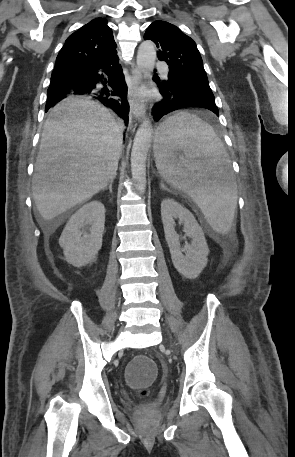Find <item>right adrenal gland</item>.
Instances as JSON below:
<instances>
[{
    "label": "right adrenal gland",
    "mask_w": 295,
    "mask_h": 457,
    "mask_svg": "<svg viewBox=\"0 0 295 457\" xmlns=\"http://www.w3.org/2000/svg\"><path fill=\"white\" fill-rule=\"evenodd\" d=\"M115 178H116V176L109 181L108 185L103 190L109 189L110 193H112L113 192L112 191V185H113V182H114Z\"/></svg>",
    "instance_id": "right-adrenal-gland-1"
}]
</instances>
